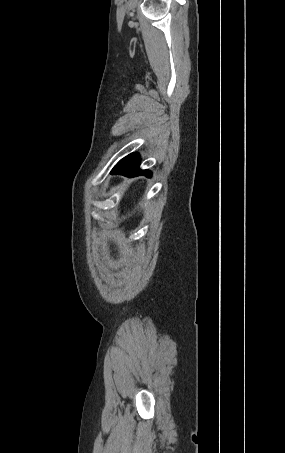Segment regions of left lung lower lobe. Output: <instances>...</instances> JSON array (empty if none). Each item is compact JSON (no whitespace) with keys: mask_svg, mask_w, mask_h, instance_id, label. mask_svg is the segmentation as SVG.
<instances>
[{"mask_svg":"<svg viewBox=\"0 0 285 453\" xmlns=\"http://www.w3.org/2000/svg\"><path fill=\"white\" fill-rule=\"evenodd\" d=\"M140 157L137 153H132L120 160L112 169L111 174L124 175L127 177L144 175L151 177L152 173L148 170H139Z\"/></svg>","mask_w":285,"mask_h":453,"instance_id":"left-lung-lower-lobe-1","label":"left lung lower lobe"}]
</instances>
